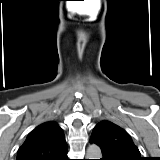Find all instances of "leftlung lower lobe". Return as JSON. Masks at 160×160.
Returning <instances> with one entry per match:
<instances>
[{"label": "left lung lower lobe", "mask_w": 160, "mask_h": 160, "mask_svg": "<svg viewBox=\"0 0 160 160\" xmlns=\"http://www.w3.org/2000/svg\"><path fill=\"white\" fill-rule=\"evenodd\" d=\"M91 143H93L92 141H90ZM101 160H107L104 156H103V158H101Z\"/></svg>", "instance_id": "left-lung-lower-lobe-1"}]
</instances>
